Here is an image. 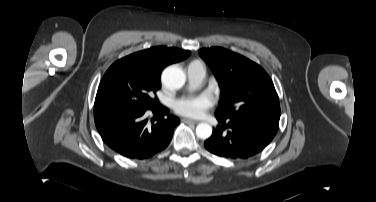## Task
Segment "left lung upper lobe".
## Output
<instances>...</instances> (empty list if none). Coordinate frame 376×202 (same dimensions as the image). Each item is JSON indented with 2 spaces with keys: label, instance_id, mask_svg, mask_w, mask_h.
I'll return each instance as SVG.
<instances>
[{
  "label": "left lung upper lobe",
  "instance_id": "obj_1",
  "mask_svg": "<svg viewBox=\"0 0 376 202\" xmlns=\"http://www.w3.org/2000/svg\"><path fill=\"white\" fill-rule=\"evenodd\" d=\"M199 54L222 88V101L216 116L260 119L279 125L278 95L261 66L221 47L203 48Z\"/></svg>",
  "mask_w": 376,
  "mask_h": 202
}]
</instances>
